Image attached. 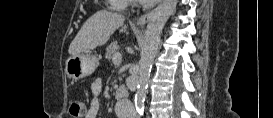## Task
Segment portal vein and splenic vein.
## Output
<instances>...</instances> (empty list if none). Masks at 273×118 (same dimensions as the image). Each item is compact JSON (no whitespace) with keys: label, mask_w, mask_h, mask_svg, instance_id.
<instances>
[{"label":"portal vein and splenic vein","mask_w":273,"mask_h":118,"mask_svg":"<svg viewBox=\"0 0 273 118\" xmlns=\"http://www.w3.org/2000/svg\"><path fill=\"white\" fill-rule=\"evenodd\" d=\"M112 61L115 64H119L122 61V55L120 53H115L112 57Z\"/></svg>","instance_id":"obj_1"}]
</instances>
